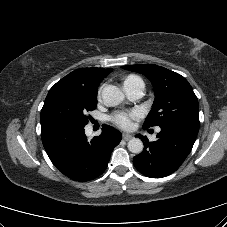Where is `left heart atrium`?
I'll use <instances>...</instances> for the list:
<instances>
[{
	"instance_id": "1",
	"label": "left heart atrium",
	"mask_w": 227,
	"mask_h": 227,
	"mask_svg": "<svg viewBox=\"0 0 227 227\" xmlns=\"http://www.w3.org/2000/svg\"><path fill=\"white\" fill-rule=\"evenodd\" d=\"M140 113L136 110L127 112H118L112 116V121L118 126L128 129L132 126V121L139 118Z\"/></svg>"
}]
</instances>
